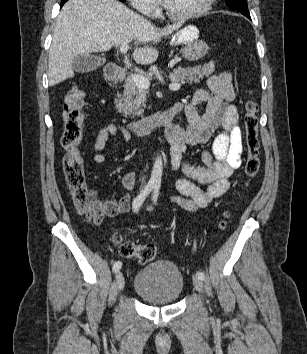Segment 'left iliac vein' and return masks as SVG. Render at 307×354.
Here are the masks:
<instances>
[{"mask_svg": "<svg viewBox=\"0 0 307 354\" xmlns=\"http://www.w3.org/2000/svg\"><path fill=\"white\" fill-rule=\"evenodd\" d=\"M192 282L198 292L204 293L203 282L201 281V279H199L198 277H193Z\"/></svg>", "mask_w": 307, "mask_h": 354, "instance_id": "obj_1", "label": "left iliac vein"}]
</instances>
